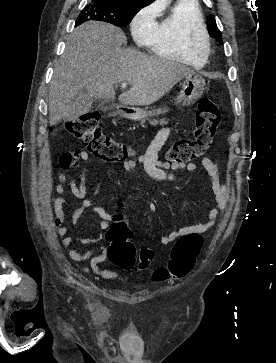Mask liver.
<instances>
[{"instance_id": "6515ba94", "label": "liver", "mask_w": 276, "mask_h": 363, "mask_svg": "<svg viewBox=\"0 0 276 363\" xmlns=\"http://www.w3.org/2000/svg\"><path fill=\"white\" fill-rule=\"evenodd\" d=\"M126 41L120 28L104 22L90 21L73 30L51 80L50 126L70 114L73 99L81 91L91 98L112 100L114 85L129 83L132 87L119 96L120 103L145 106L195 74L180 63L122 48Z\"/></svg>"}]
</instances>
